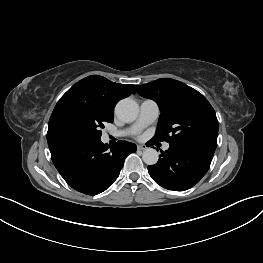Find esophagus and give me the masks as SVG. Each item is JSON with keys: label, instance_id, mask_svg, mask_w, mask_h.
I'll list each match as a JSON object with an SVG mask.
<instances>
[{"label": "esophagus", "instance_id": "obj_1", "mask_svg": "<svg viewBox=\"0 0 263 263\" xmlns=\"http://www.w3.org/2000/svg\"><path fill=\"white\" fill-rule=\"evenodd\" d=\"M137 149L140 150V151H143V150H146L147 147H146V145H138Z\"/></svg>", "mask_w": 263, "mask_h": 263}]
</instances>
